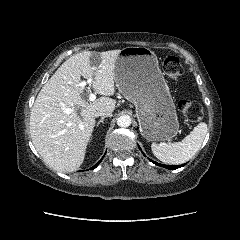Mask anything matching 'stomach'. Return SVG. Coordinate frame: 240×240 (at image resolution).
Masks as SVG:
<instances>
[{
	"mask_svg": "<svg viewBox=\"0 0 240 240\" xmlns=\"http://www.w3.org/2000/svg\"><path fill=\"white\" fill-rule=\"evenodd\" d=\"M114 74L118 90L136 107L141 135L148 141L174 138L179 130L176 107L156 54L142 46L123 48Z\"/></svg>",
	"mask_w": 240,
	"mask_h": 240,
	"instance_id": "1",
	"label": "stomach"
}]
</instances>
